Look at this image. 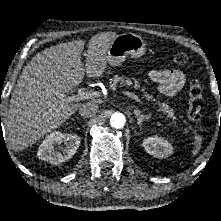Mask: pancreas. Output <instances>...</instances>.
Instances as JSON below:
<instances>
[{
    "instance_id": "pancreas-1",
    "label": "pancreas",
    "mask_w": 221,
    "mask_h": 221,
    "mask_svg": "<svg viewBox=\"0 0 221 221\" xmlns=\"http://www.w3.org/2000/svg\"><path fill=\"white\" fill-rule=\"evenodd\" d=\"M118 83L120 84V86L130 87L131 85H134L135 88L140 87L139 81H137L134 78H132V79L127 78L124 75H122V76L115 75V76H113V78L110 79V87L112 89H115V87L117 86ZM142 91L144 92V97L146 99L151 100V101H155L151 95H149L147 92H145V89H142ZM155 104L159 106V111L167 114L168 119H171L173 121L176 119L174 111L169 107V105L167 103L156 102Z\"/></svg>"
}]
</instances>
